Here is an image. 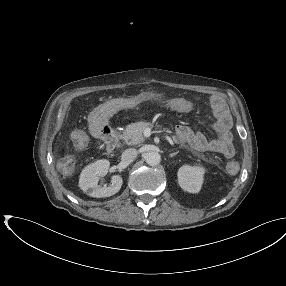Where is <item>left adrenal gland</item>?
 Returning <instances> with one entry per match:
<instances>
[{"instance_id":"left-adrenal-gland-1","label":"left adrenal gland","mask_w":286,"mask_h":286,"mask_svg":"<svg viewBox=\"0 0 286 286\" xmlns=\"http://www.w3.org/2000/svg\"><path fill=\"white\" fill-rule=\"evenodd\" d=\"M179 153V151H176V152H174V153H171L170 155H169V157H173V156H175V155H177Z\"/></svg>"}]
</instances>
